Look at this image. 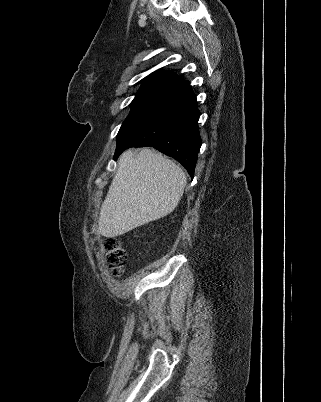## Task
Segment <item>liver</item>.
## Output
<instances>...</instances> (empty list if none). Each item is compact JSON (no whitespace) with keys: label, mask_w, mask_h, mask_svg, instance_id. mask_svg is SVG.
Returning <instances> with one entry per match:
<instances>
[{"label":"liver","mask_w":321,"mask_h":402,"mask_svg":"<svg viewBox=\"0 0 321 402\" xmlns=\"http://www.w3.org/2000/svg\"><path fill=\"white\" fill-rule=\"evenodd\" d=\"M186 183L180 166L160 153L149 148L137 154L125 151L100 209L98 233L113 238L167 216Z\"/></svg>","instance_id":"obj_1"}]
</instances>
